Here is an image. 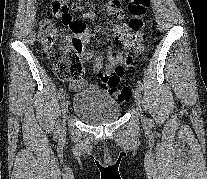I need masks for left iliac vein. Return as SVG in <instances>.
Returning a JSON list of instances; mask_svg holds the SVG:
<instances>
[{
    "label": "left iliac vein",
    "instance_id": "4c4485c4",
    "mask_svg": "<svg viewBox=\"0 0 207 179\" xmlns=\"http://www.w3.org/2000/svg\"><path fill=\"white\" fill-rule=\"evenodd\" d=\"M134 99L137 105L141 104V91L137 88L134 94Z\"/></svg>",
    "mask_w": 207,
    "mask_h": 179
}]
</instances>
